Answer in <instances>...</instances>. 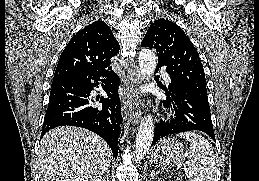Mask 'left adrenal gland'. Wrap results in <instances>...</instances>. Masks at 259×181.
I'll return each instance as SVG.
<instances>
[{
  "label": "left adrenal gland",
  "instance_id": "1",
  "mask_svg": "<svg viewBox=\"0 0 259 181\" xmlns=\"http://www.w3.org/2000/svg\"><path fill=\"white\" fill-rule=\"evenodd\" d=\"M157 174H158V172H156L155 170H153V171L151 172L152 181H153L154 177H155Z\"/></svg>",
  "mask_w": 259,
  "mask_h": 181
}]
</instances>
